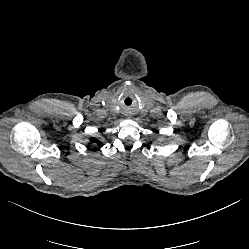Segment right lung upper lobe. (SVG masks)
<instances>
[{"label": "right lung upper lobe", "mask_w": 249, "mask_h": 249, "mask_svg": "<svg viewBox=\"0 0 249 249\" xmlns=\"http://www.w3.org/2000/svg\"><path fill=\"white\" fill-rule=\"evenodd\" d=\"M90 142H92V143L95 142V143H97L98 146H102V143L97 139L91 138Z\"/></svg>", "instance_id": "1"}]
</instances>
